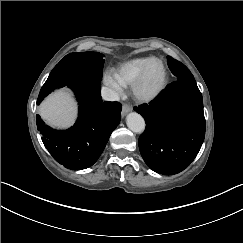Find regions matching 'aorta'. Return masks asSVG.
Instances as JSON below:
<instances>
[{"label":"aorta","mask_w":243,"mask_h":243,"mask_svg":"<svg viewBox=\"0 0 243 243\" xmlns=\"http://www.w3.org/2000/svg\"><path fill=\"white\" fill-rule=\"evenodd\" d=\"M127 127L135 133H142L145 130V121L143 117L136 113L131 112L126 117Z\"/></svg>","instance_id":"aorta-1"}]
</instances>
